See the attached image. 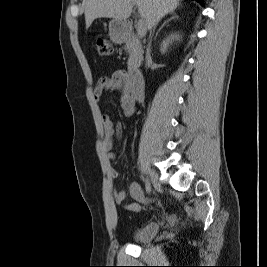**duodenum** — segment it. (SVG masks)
Wrapping results in <instances>:
<instances>
[{
  "instance_id": "duodenum-1",
  "label": "duodenum",
  "mask_w": 267,
  "mask_h": 267,
  "mask_svg": "<svg viewBox=\"0 0 267 267\" xmlns=\"http://www.w3.org/2000/svg\"><path fill=\"white\" fill-rule=\"evenodd\" d=\"M131 96L134 100L140 101L144 96V80L139 71H133L131 74Z\"/></svg>"
}]
</instances>
